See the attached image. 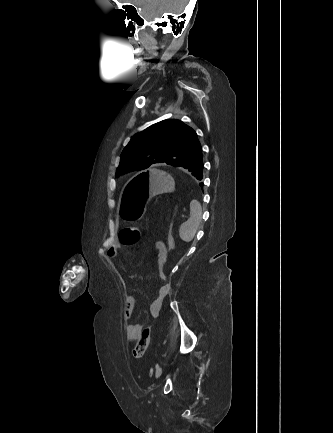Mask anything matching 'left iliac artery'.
Instances as JSON below:
<instances>
[{
    "label": "left iliac artery",
    "mask_w": 333,
    "mask_h": 433,
    "mask_svg": "<svg viewBox=\"0 0 333 433\" xmlns=\"http://www.w3.org/2000/svg\"><path fill=\"white\" fill-rule=\"evenodd\" d=\"M158 367H159V365H158V364H156L155 368L157 369Z\"/></svg>",
    "instance_id": "1"
}]
</instances>
